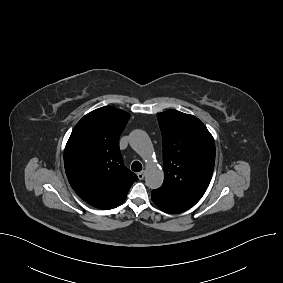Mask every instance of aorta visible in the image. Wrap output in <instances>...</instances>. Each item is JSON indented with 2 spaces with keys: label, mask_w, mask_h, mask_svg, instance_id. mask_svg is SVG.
<instances>
[{
  "label": "aorta",
  "mask_w": 283,
  "mask_h": 283,
  "mask_svg": "<svg viewBox=\"0 0 283 283\" xmlns=\"http://www.w3.org/2000/svg\"><path fill=\"white\" fill-rule=\"evenodd\" d=\"M130 146L146 161L145 183L150 189H157L163 183L164 174L161 168L149 159L152 155V143L146 132L134 130L130 134Z\"/></svg>",
  "instance_id": "aorta-1"
}]
</instances>
